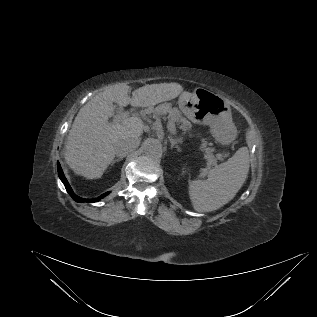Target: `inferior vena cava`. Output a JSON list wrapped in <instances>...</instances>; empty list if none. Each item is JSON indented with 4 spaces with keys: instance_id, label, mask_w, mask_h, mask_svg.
<instances>
[{
    "instance_id": "inferior-vena-cava-1",
    "label": "inferior vena cava",
    "mask_w": 317,
    "mask_h": 317,
    "mask_svg": "<svg viewBox=\"0 0 317 317\" xmlns=\"http://www.w3.org/2000/svg\"><path fill=\"white\" fill-rule=\"evenodd\" d=\"M139 143V139L134 137L121 139L114 145L115 154L119 157H125L129 152L135 150Z\"/></svg>"
}]
</instances>
